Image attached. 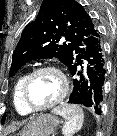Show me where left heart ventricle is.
Wrapping results in <instances>:
<instances>
[{
    "instance_id": "b2bd125f",
    "label": "left heart ventricle",
    "mask_w": 117,
    "mask_h": 136,
    "mask_svg": "<svg viewBox=\"0 0 117 136\" xmlns=\"http://www.w3.org/2000/svg\"><path fill=\"white\" fill-rule=\"evenodd\" d=\"M61 91L60 78L52 72H43L33 79L30 85L29 98L34 106L42 107L54 101Z\"/></svg>"
}]
</instances>
